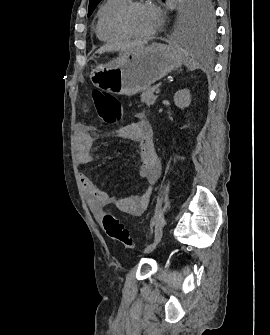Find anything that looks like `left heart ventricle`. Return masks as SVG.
Listing matches in <instances>:
<instances>
[{"label": "left heart ventricle", "instance_id": "1", "mask_svg": "<svg viewBox=\"0 0 270 335\" xmlns=\"http://www.w3.org/2000/svg\"><path fill=\"white\" fill-rule=\"evenodd\" d=\"M127 26L137 35H144L148 29V21L142 7H136L130 11L127 17Z\"/></svg>", "mask_w": 270, "mask_h": 335}]
</instances>
